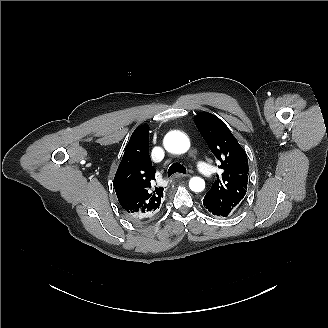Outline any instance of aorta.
Segmentation results:
<instances>
[{"label": "aorta", "instance_id": "aorta-1", "mask_svg": "<svg viewBox=\"0 0 328 328\" xmlns=\"http://www.w3.org/2000/svg\"><path fill=\"white\" fill-rule=\"evenodd\" d=\"M165 148L172 153L182 154L188 151L190 141L188 137L180 131H171L164 138ZM189 187L194 192H201L205 188V181L200 177H192Z\"/></svg>", "mask_w": 328, "mask_h": 328}]
</instances>
